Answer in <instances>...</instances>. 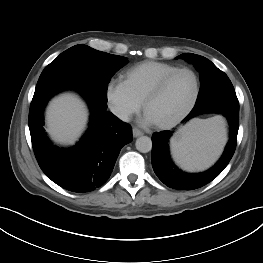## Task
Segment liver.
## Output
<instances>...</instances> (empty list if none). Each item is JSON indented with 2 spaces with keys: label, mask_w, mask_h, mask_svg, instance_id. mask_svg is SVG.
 Wrapping results in <instances>:
<instances>
[{
  "label": "liver",
  "mask_w": 263,
  "mask_h": 263,
  "mask_svg": "<svg viewBox=\"0 0 263 263\" xmlns=\"http://www.w3.org/2000/svg\"><path fill=\"white\" fill-rule=\"evenodd\" d=\"M87 119L84 102L73 94H63L48 106L47 131L56 142L73 144L84 131Z\"/></svg>",
  "instance_id": "obj_1"
}]
</instances>
